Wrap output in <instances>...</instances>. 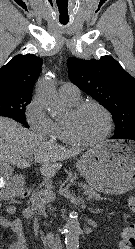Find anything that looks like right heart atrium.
I'll list each match as a JSON object with an SVG mask.
<instances>
[{"instance_id":"right-heart-atrium-1","label":"right heart atrium","mask_w":135,"mask_h":249,"mask_svg":"<svg viewBox=\"0 0 135 249\" xmlns=\"http://www.w3.org/2000/svg\"><path fill=\"white\" fill-rule=\"evenodd\" d=\"M25 119L30 128L42 136L52 137L53 120L47 115L39 96H35L25 109Z\"/></svg>"}]
</instances>
